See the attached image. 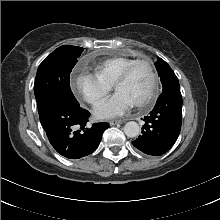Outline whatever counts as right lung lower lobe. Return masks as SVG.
I'll return each instance as SVG.
<instances>
[{
	"label": "right lung lower lobe",
	"mask_w": 220,
	"mask_h": 220,
	"mask_svg": "<svg viewBox=\"0 0 220 220\" xmlns=\"http://www.w3.org/2000/svg\"><path fill=\"white\" fill-rule=\"evenodd\" d=\"M90 113L63 100H56L39 112L41 125L49 142L62 156L78 159L93 153L98 147L108 123H94L86 128Z\"/></svg>",
	"instance_id": "98d812e1"
}]
</instances>
